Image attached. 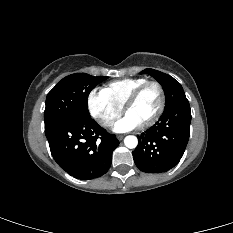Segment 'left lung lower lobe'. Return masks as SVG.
Masks as SVG:
<instances>
[{
  "mask_svg": "<svg viewBox=\"0 0 233 233\" xmlns=\"http://www.w3.org/2000/svg\"><path fill=\"white\" fill-rule=\"evenodd\" d=\"M191 110L187 98L166 108L160 119L138 137L133 151L136 166L146 173H162L178 164L189 140Z\"/></svg>",
  "mask_w": 233,
  "mask_h": 233,
  "instance_id": "1",
  "label": "left lung lower lobe"
}]
</instances>
